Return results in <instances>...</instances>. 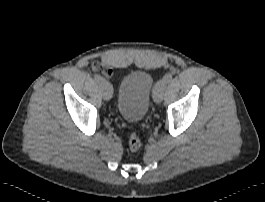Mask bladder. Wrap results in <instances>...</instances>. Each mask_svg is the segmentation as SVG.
Masks as SVG:
<instances>
[{
  "mask_svg": "<svg viewBox=\"0 0 265 202\" xmlns=\"http://www.w3.org/2000/svg\"><path fill=\"white\" fill-rule=\"evenodd\" d=\"M152 92L153 81L147 72L126 75L118 88L117 109L120 116L132 123L142 121L147 115Z\"/></svg>",
  "mask_w": 265,
  "mask_h": 202,
  "instance_id": "bladder-1",
  "label": "bladder"
}]
</instances>
